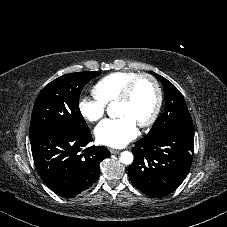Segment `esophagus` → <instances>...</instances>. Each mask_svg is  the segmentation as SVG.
I'll return each mask as SVG.
<instances>
[{
    "label": "esophagus",
    "mask_w": 227,
    "mask_h": 227,
    "mask_svg": "<svg viewBox=\"0 0 227 227\" xmlns=\"http://www.w3.org/2000/svg\"><path fill=\"white\" fill-rule=\"evenodd\" d=\"M109 150H110V152L112 154H118V153H120V150H117V149L110 148Z\"/></svg>",
    "instance_id": "34e87169"
}]
</instances>
